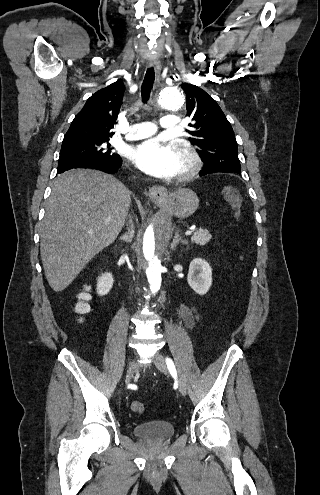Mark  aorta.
Segmentation results:
<instances>
[{
    "label": "aorta",
    "instance_id": "762f6f07",
    "mask_svg": "<svg viewBox=\"0 0 320 495\" xmlns=\"http://www.w3.org/2000/svg\"><path fill=\"white\" fill-rule=\"evenodd\" d=\"M183 95L176 89H164L159 94L157 105L160 107L175 110L183 105ZM169 217L163 214L155 217L146 227L142 242V263L146 268L148 282L151 292H158L161 287V252L163 247L168 243L169 235Z\"/></svg>",
    "mask_w": 320,
    "mask_h": 495
}]
</instances>
